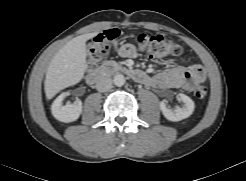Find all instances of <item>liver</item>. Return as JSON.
<instances>
[{
	"instance_id": "obj_1",
	"label": "liver",
	"mask_w": 246,
	"mask_h": 181,
	"mask_svg": "<svg viewBox=\"0 0 246 181\" xmlns=\"http://www.w3.org/2000/svg\"><path fill=\"white\" fill-rule=\"evenodd\" d=\"M97 33L77 36L67 42L51 60L44 82L47 99H52L59 91L81 81L86 68V41Z\"/></svg>"
}]
</instances>
